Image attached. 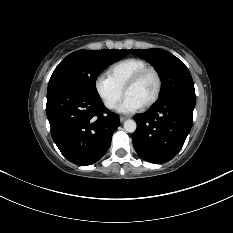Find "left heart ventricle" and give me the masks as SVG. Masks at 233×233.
<instances>
[{
  "mask_svg": "<svg viewBox=\"0 0 233 233\" xmlns=\"http://www.w3.org/2000/svg\"><path fill=\"white\" fill-rule=\"evenodd\" d=\"M156 86L157 82L154 74L148 73L139 83L126 92V96H130L144 105L154 95Z\"/></svg>",
  "mask_w": 233,
  "mask_h": 233,
  "instance_id": "left-heart-ventricle-1",
  "label": "left heart ventricle"
}]
</instances>
